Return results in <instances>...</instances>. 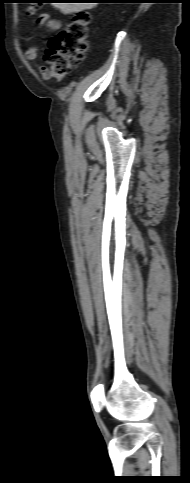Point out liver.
Segmentation results:
<instances>
[{"instance_id": "6515ba94", "label": "liver", "mask_w": 190, "mask_h": 483, "mask_svg": "<svg viewBox=\"0 0 190 483\" xmlns=\"http://www.w3.org/2000/svg\"><path fill=\"white\" fill-rule=\"evenodd\" d=\"M97 3H53L63 14L79 12L85 9H92Z\"/></svg>"}]
</instances>
